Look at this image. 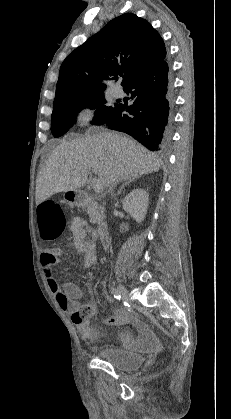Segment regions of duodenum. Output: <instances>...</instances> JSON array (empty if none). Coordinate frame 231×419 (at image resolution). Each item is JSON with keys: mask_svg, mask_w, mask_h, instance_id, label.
Listing matches in <instances>:
<instances>
[{"mask_svg": "<svg viewBox=\"0 0 231 419\" xmlns=\"http://www.w3.org/2000/svg\"><path fill=\"white\" fill-rule=\"evenodd\" d=\"M75 202L79 206H85L90 202V196L86 193H78L75 195ZM98 234L101 237L104 244H107L108 227L104 221H99L97 224Z\"/></svg>", "mask_w": 231, "mask_h": 419, "instance_id": "obj_1", "label": "duodenum"}]
</instances>
